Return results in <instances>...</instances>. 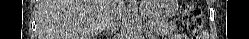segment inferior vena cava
I'll use <instances>...</instances> for the list:
<instances>
[{
  "label": "inferior vena cava",
  "mask_w": 249,
  "mask_h": 39,
  "mask_svg": "<svg viewBox=\"0 0 249 39\" xmlns=\"http://www.w3.org/2000/svg\"><path fill=\"white\" fill-rule=\"evenodd\" d=\"M121 1L122 0H114L112 11L109 13V15H107V17L103 21L102 30L105 29L108 31L111 30V32H115L116 26L118 25V21L120 19V14L117 11V4Z\"/></svg>",
  "instance_id": "inferior-vena-cava-1"
}]
</instances>
